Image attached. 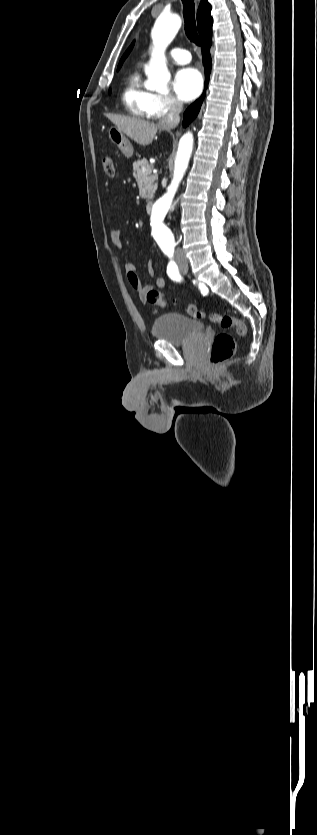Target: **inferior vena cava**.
I'll return each mask as SVG.
<instances>
[{"label": "inferior vena cava", "instance_id": "1", "mask_svg": "<svg viewBox=\"0 0 317 835\" xmlns=\"http://www.w3.org/2000/svg\"><path fill=\"white\" fill-rule=\"evenodd\" d=\"M182 109H183L182 103L174 99L171 102L168 113L160 119V121H159L160 127L163 128V129H166L167 131L176 127L180 122L179 114L182 111ZM182 256H183L182 250L180 248H177L176 258H180Z\"/></svg>", "mask_w": 317, "mask_h": 835}]
</instances>
